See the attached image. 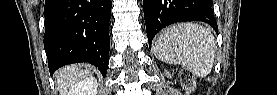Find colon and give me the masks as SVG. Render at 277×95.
Here are the masks:
<instances>
[{
	"instance_id": "1",
	"label": "colon",
	"mask_w": 277,
	"mask_h": 95,
	"mask_svg": "<svg viewBox=\"0 0 277 95\" xmlns=\"http://www.w3.org/2000/svg\"><path fill=\"white\" fill-rule=\"evenodd\" d=\"M180 81H181L183 89L186 92L191 93L194 91L195 85H196V80H195V76L193 75V73L191 71H189L187 69L183 70L181 73Z\"/></svg>"
}]
</instances>
